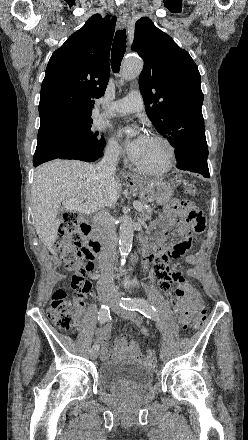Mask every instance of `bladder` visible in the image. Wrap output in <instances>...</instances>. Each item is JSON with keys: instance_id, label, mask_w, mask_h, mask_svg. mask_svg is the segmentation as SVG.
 <instances>
[{"instance_id": "obj_1", "label": "bladder", "mask_w": 248, "mask_h": 440, "mask_svg": "<svg viewBox=\"0 0 248 440\" xmlns=\"http://www.w3.org/2000/svg\"><path fill=\"white\" fill-rule=\"evenodd\" d=\"M97 378L101 385L111 390L140 391L152 385L154 371L135 361L112 359L99 365Z\"/></svg>"}]
</instances>
